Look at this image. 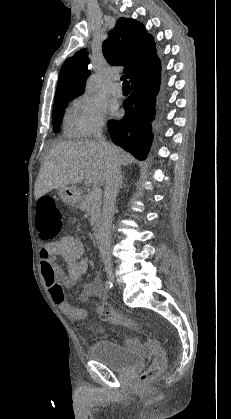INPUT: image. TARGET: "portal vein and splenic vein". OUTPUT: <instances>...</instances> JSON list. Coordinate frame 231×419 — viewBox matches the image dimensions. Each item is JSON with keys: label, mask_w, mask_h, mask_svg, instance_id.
Returning a JSON list of instances; mask_svg holds the SVG:
<instances>
[{"label": "portal vein and splenic vein", "mask_w": 231, "mask_h": 419, "mask_svg": "<svg viewBox=\"0 0 231 419\" xmlns=\"http://www.w3.org/2000/svg\"><path fill=\"white\" fill-rule=\"evenodd\" d=\"M90 195L92 198H95V199L101 198V195H102L101 189L99 187L93 188Z\"/></svg>", "instance_id": "obj_1"}]
</instances>
